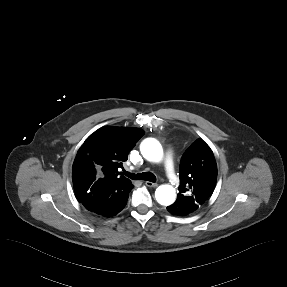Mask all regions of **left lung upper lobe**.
Listing matches in <instances>:
<instances>
[{
    "label": "left lung upper lobe",
    "mask_w": 287,
    "mask_h": 287,
    "mask_svg": "<svg viewBox=\"0 0 287 287\" xmlns=\"http://www.w3.org/2000/svg\"><path fill=\"white\" fill-rule=\"evenodd\" d=\"M179 178L181 183L174 204L191 213L210 197L217 179L213 152L201 138L193 142L183 154Z\"/></svg>",
    "instance_id": "1"
}]
</instances>
